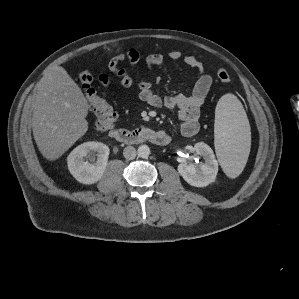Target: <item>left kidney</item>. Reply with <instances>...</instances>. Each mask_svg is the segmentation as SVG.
Masks as SVG:
<instances>
[{"label": "left kidney", "mask_w": 299, "mask_h": 299, "mask_svg": "<svg viewBox=\"0 0 299 299\" xmlns=\"http://www.w3.org/2000/svg\"><path fill=\"white\" fill-rule=\"evenodd\" d=\"M193 149L197 155H202L204 157L205 163H181L178 165V172L191 186L206 187L215 181L218 173V162L213 150L207 144L203 142L196 143Z\"/></svg>", "instance_id": "obj_1"}]
</instances>
